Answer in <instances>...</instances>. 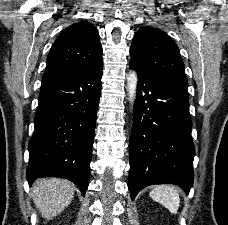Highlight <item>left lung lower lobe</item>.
Here are the masks:
<instances>
[{"mask_svg": "<svg viewBox=\"0 0 228 225\" xmlns=\"http://www.w3.org/2000/svg\"><path fill=\"white\" fill-rule=\"evenodd\" d=\"M138 74L130 140L128 187L132 200L146 186L173 183L186 193L193 185L188 86Z\"/></svg>", "mask_w": 228, "mask_h": 225, "instance_id": "obj_1", "label": "left lung lower lobe"}]
</instances>
